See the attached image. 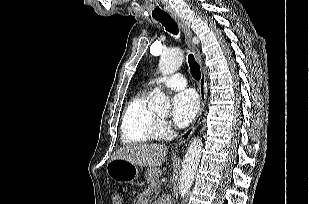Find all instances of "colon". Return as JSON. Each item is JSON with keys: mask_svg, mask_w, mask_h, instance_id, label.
<instances>
[{"mask_svg": "<svg viewBox=\"0 0 309 204\" xmlns=\"http://www.w3.org/2000/svg\"><path fill=\"white\" fill-rule=\"evenodd\" d=\"M112 202L113 204H121L122 203V198L120 193H113L112 194Z\"/></svg>", "mask_w": 309, "mask_h": 204, "instance_id": "5ec220e1", "label": "colon"}]
</instances>
